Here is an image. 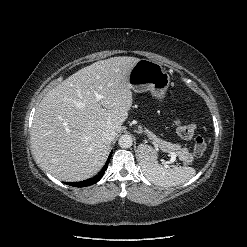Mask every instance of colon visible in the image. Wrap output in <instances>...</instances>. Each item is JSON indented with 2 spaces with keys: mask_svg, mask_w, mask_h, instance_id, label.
<instances>
[{
  "mask_svg": "<svg viewBox=\"0 0 247 247\" xmlns=\"http://www.w3.org/2000/svg\"><path fill=\"white\" fill-rule=\"evenodd\" d=\"M176 129L178 134L184 139H190L193 137L196 131V123L193 119H179L176 122ZM207 148V143L204 137L197 136L194 139L193 151L195 155H202Z\"/></svg>",
  "mask_w": 247,
  "mask_h": 247,
  "instance_id": "5ec220e1",
  "label": "colon"
}]
</instances>
